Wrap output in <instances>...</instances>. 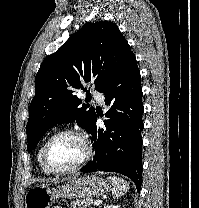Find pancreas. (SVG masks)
<instances>
[{"label":"pancreas","mask_w":199,"mask_h":208,"mask_svg":"<svg viewBox=\"0 0 199 208\" xmlns=\"http://www.w3.org/2000/svg\"><path fill=\"white\" fill-rule=\"evenodd\" d=\"M93 204V200L92 199H87V200H77V201H73L71 203V207L70 208H87V206H90ZM57 208V207H55Z\"/></svg>","instance_id":"1"}]
</instances>
